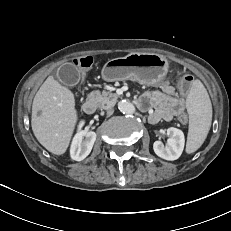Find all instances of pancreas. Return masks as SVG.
<instances>
[{"instance_id": "cf45deb5", "label": "pancreas", "mask_w": 231, "mask_h": 231, "mask_svg": "<svg viewBox=\"0 0 231 231\" xmlns=\"http://www.w3.org/2000/svg\"><path fill=\"white\" fill-rule=\"evenodd\" d=\"M90 96L101 109L113 107L119 97L116 93H111L109 91L100 92L99 90L92 91Z\"/></svg>"}]
</instances>
